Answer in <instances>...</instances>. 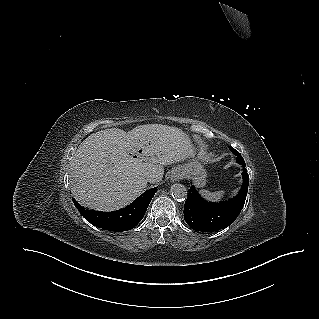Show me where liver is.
Returning a JSON list of instances; mask_svg holds the SVG:
<instances>
[{
	"instance_id": "obj_1",
	"label": "liver",
	"mask_w": 319,
	"mask_h": 319,
	"mask_svg": "<svg viewBox=\"0 0 319 319\" xmlns=\"http://www.w3.org/2000/svg\"><path fill=\"white\" fill-rule=\"evenodd\" d=\"M134 158L129 153H137ZM194 156V148L181 129L145 124L125 132L119 128L98 131L78 147L71 161L72 193L83 206L100 211L122 208L150 183L162 180L165 165Z\"/></svg>"
}]
</instances>
